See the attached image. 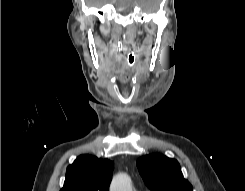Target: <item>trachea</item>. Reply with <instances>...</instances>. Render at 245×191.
<instances>
[{
	"instance_id": "obj_1",
	"label": "trachea",
	"mask_w": 245,
	"mask_h": 191,
	"mask_svg": "<svg viewBox=\"0 0 245 191\" xmlns=\"http://www.w3.org/2000/svg\"><path fill=\"white\" fill-rule=\"evenodd\" d=\"M136 63V55L134 52H130L127 56V64L132 67Z\"/></svg>"
}]
</instances>
